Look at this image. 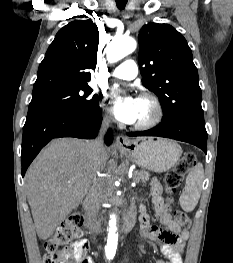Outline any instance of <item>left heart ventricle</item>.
Returning a JSON list of instances; mask_svg holds the SVG:
<instances>
[{
	"label": "left heart ventricle",
	"instance_id": "1",
	"mask_svg": "<svg viewBox=\"0 0 233 263\" xmlns=\"http://www.w3.org/2000/svg\"><path fill=\"white\" fill-rule=\"evenodd\" d=\"M151 115H152L151 105L147 101L140 99V111L136 122L146 120Z\"/></svg>",
	"mask_w": 233,
	"mask_h": 263
}]
</instances>
